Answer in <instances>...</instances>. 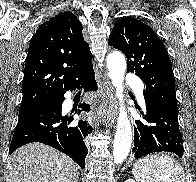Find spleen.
I'll use <instances>...</instances> for the list:
<instances>
[{
  "instance_id": "1",
  "label": "spleen",
  "mask_w": 196,
  "mask_h": 182,
  "mask_svg": "<svg viewBox=\"0 0 196 182\" xmlns=\"http://www.w3.org/2000/svg\"><path fill=\"white\" fill-rule=\"evenodd\" d=\"M132 173L139 182H185L182 166L163 153L139 159L134 163Z\"/></svg>"
}]
</instances>
